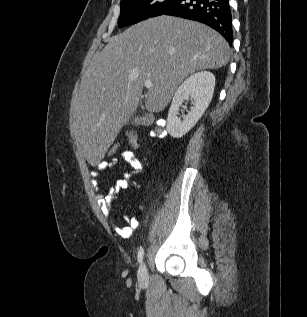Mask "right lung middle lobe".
Listing matches in <instances>:
<instances>
[{
  "label": "right lung middle lobe",
  "mask_w": 307,
  "mask_h": 317,
  "mask_svg": "<svg viewBox=\"0 0 307 317\" xmlns=\"http://www.w3.org/2000/svg\"><path fill=\"white\" fill-rule=\"evenodd\" d=\"M175 0H122L118 26L124 27L162 15Z\"/></svg>",
  "instance_id": "obj_1"
}]
</instances>
